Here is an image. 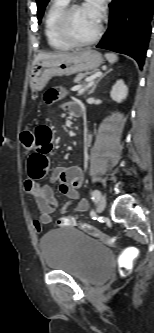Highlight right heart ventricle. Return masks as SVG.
<instances>
[{"label":"right heart ventricle","instance_id":"right-heart-ventricle-1","mask_svg":"<svg viewBox=\"0 0 154 333\" xmlns=\"http://www.w3.org/2000/svg\"><path fill=\"white\" fill-rule=\"evenodd\" d=\"M70 0H51L44 17V34L48 45L57 51H67L74 46L64 41L57 31V21Z\"/></svg>","mask_w":154,"mask_h":333}]
</instances>
